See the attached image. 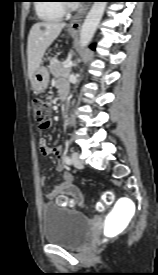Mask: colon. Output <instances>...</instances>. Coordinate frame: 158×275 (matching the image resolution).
<instances>
[{
  "label": "colon",
  "mask_w": 158,
  "mask_h": 275,
  "mask_svg": "<svg viewBox=\"0 0 158 275\" xmlns=\"http://www.w3.org/2000/svg\"><path fill=\"white\" fill-rule=\"evenodd\" d=\"M34 118L39 123L40 129L47 128V116L49 114V100L41 97H36L32 101ZM114 201V194L112 191H105L103 193V201L99 209L112 204ZM57 203L61 206L67 205L69 200L64 196H59Z\"/></svg>",
  "instance_id": "1"
}]
</instances>
